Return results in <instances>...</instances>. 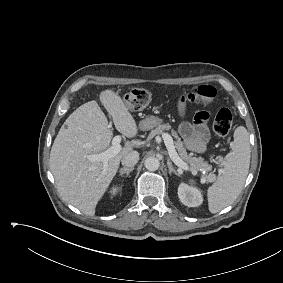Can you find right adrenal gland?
I'll list each match as a JSON object with an SVG mask.
<instances>
[{
    "instance_id": "2a0ac1e0",
    "label": "right adrenal gland",
    "mask_w": 283,
    "mask_h": 283,
    "mask_svg": "<svg viewBox=\"0 0 283 283\" xmlns=\"http://www.w3.org/2000/svg\"><path fill=\"white\" fill-rule=\"evenodd\" d=\"M134 170V167H131V168H122V169H120V176H123L124 174H126V176H128L129 175V173L131 172V171H133Z\"/></svg>"
}]
</instances>
